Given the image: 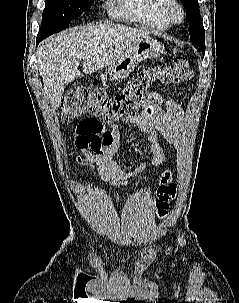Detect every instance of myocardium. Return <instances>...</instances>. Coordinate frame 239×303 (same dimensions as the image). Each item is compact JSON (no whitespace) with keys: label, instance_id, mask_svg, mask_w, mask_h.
<instances>
[{"label":"myocardium","instance_id":"myocardium-1","mask_svg":"<svg viewBox=\"0 0 239 303\" xmlns=\"http://www.w3.org/2000/svg\"><path fill=\"white\" fill-rule=\"evenodd\" d=\"M160 12L169 24H179L185 18V10L178 0H164Z\"/></svg>","mask_w":239,"mask_h":303}]
</instances>
